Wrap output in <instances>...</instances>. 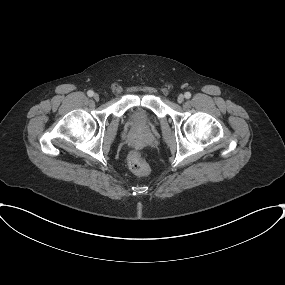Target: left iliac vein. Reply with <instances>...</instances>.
I'll list each match as a JSON object with an SVG mask.
<instances>
[{
    "label": "left iliac vein",
    "mask_w": 285,
    "mask_h": 285,
    "mask_svg": "<svg viewBox=\"0 0 285 285\" xmlns=\"http://www.w3.org/2000/svg\"><path fill=\"white\" fill-rule=\"evenodd\" d=\"M177 101L178 103H182L184 101V95L180 94L178 97H177Z\"/></svg>",
    "instance_id": "left-iliac-vein-1"
}]
</instances>
